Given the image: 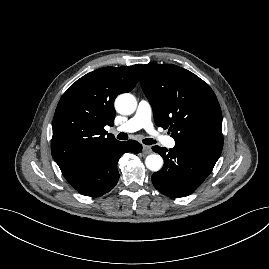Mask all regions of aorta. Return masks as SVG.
I'll list each match as a JSON object with an SVG mask.
<instances>
[{"label":"aorta","instance_id":"762f6f07","mask_svg":"<svg viewBox=\"0 0 269 269\" xmlns=\"http://www.w3.org/2000/svg\"><path fill=\"white\" fill-rule=\"evenodd\" d=\"M137 101L129 93L119 95L115 100L116 111L122 115H130L135 112ZM146 167L153 171H159L163 166V158L159 154H150L145 159Z\"/></svg>","mask_w":269,"mask_h":269}]
</instances>
